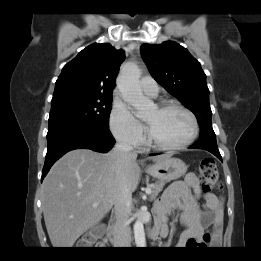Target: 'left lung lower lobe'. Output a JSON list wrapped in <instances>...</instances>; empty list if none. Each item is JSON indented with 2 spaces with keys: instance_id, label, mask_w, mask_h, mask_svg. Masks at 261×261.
<instances>
[{
  "instance_id": "obj_1",
  "label": "left lung lower lobe",
  "mask_w": 261,
  "mask_h": 261,
  "mask_svg": "<svg viewBox=\"0 0 261 261\" xmlns=\"http://www.w3.org/2000/svg\"><path fill=\"white\" fill-rule=\"evenodd\" d=\"M189 148L191 149H203L211 152L214 154L217 158H219L222 161V157L220 155V152L217 147V142H216V137H203L199 138V140L190 146ZM151 155H158L156 154H151Z\"/></svg>"
}]
</instances>
